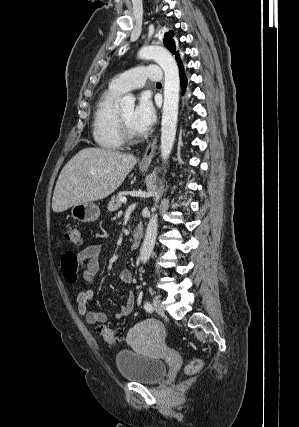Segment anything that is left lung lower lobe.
Masks as SVG:
<instances>
[{"mask_svg":"<svg viewBox=\"0 0 299 427\" xmlns=\"http://www.w3.org/2000/svg\"><path fill=\"white\" fill-rule=\"evenodd\" d=\"M175 58H176V60L178 62V66H179V69H180L179 73H180L181 87H182L183 93H184L186 85H187V80H186V76H185V73H184V70H183L182 62L180 60V56H179V52L178 51L175 53Z\"/></svg>","mask_w":299,"mask_h":427,"instance_id":"0a47b994","label":"left lung lower lobe"}]
</instances>
